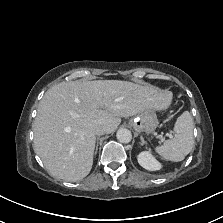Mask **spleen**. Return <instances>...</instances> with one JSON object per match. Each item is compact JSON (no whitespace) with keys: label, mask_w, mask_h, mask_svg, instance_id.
I'll return each mask as SVG.
<instances>
[{"label":"spleen","mask_w":223,"mask_h":223,"mask_svg":"<svg viewBox=\"0 0 223 223\" xmlns=\"http://www.w3.org/2000/svg\"><path fill=\"white\" fill-rule=\"evenodd\" d=\"M194 121L192 115L185 111L180 115L174 125V138L166 140L155 151L164 159L179 162L184 160L194 147L193 137Z\"/></svg>","instance_id":"3e777b00"}]
</instances>
